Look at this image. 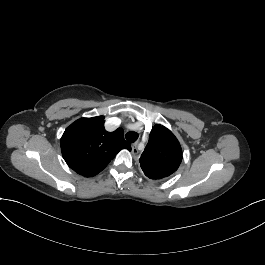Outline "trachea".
Returning <instances> with one entry per match:
<instances>
[{"label":"trachea","mask_w":265,"mask_h":265,"mask_svg":"<svg viewBox=\"0 0 265 265\" xmlns=\"http://www.w3.org/2000/svg\"><path fill=\"white\" fill-rule=\"evenodd\" d=\"M138 138V133L137 132H127L126 133V140L129 143H134Z\"/></svg>","instance_id":"trachea-1"}]
</instances>
